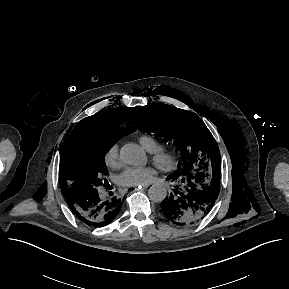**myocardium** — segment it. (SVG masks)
<instances>
[{"label": "myocardium", "instance_id": "1", "mask_svg": "<svg viewBox=\"0 0 289 289\" xmlns=\"http://www.w3.org/2000/svg\"><path fill=\"white\" fill-rule=\"evenodd\" d=\"M150 159L162 171H173L179 164L178 153L168 148H160L150 152Z\"/></svg>", "mask_w": 289, "mask_h": 289}]
</instances>
